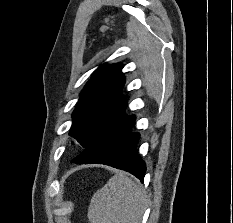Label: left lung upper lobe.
I'll list each match as a JSON object with an SVG mask.
<instances>
[{
	"label": "left lung upper lobe",
	"instance_id": "1",
	"mask_svg": "<svg viewBox=\"0 0 233 223\" xmlns=\"http://www.w3.org/2000/svg\"><path fill=\"white\" fill-rule=\"evenodd\" d=\"M120 63L101 66L82 90L73 112L69 135L88 146L106 124L127 104L121 96L125 78Z\"/></svg>",
	"mask_w": 233,
	"mask_h": 223
}]
</instances>
